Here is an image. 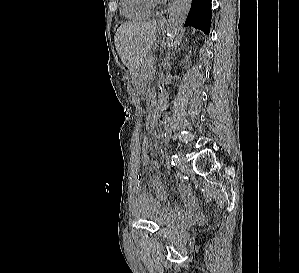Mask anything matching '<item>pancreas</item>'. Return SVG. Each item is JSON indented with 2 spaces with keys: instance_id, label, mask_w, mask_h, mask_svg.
Returning a JSON list of instances; mask_svg holds the SVG:
<instances>
[{
  "instance_id": "cf45deb5",
  "label": "pancreas",
  "mask_w": 299,
  "mask_h": 273,
  "mask_svg": "<svg viewBox=\"0 0 299 273\" xmlns=\"http://www.w3.org/2000/svg\"><path fill=\"white\" fill-rule=\"evenodd\" d=\"M154 70L155 67H154L152 55H148L142 63L143 77L147 80L154 73Z\"/></svg>"
}]
</instances>
